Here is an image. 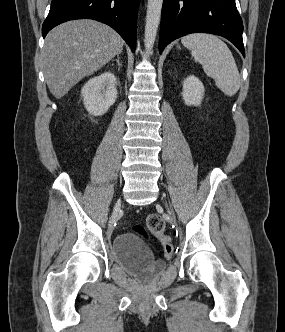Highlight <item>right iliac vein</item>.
<instances>
[{"label": "right iliac vein", "instance_id": "obj_1", "mask_svg": "<svg viewBox=\"0 0 285 332\" xmlns=\"http://www.w3.org/2000/svg\"><path fill=\"white\" fill-rule=\"evenodd\" d=\"M120 206H121V200L118 199L116 202L115 208H114L113 215H112L113 219L117 216V212L119 211Z\"/></svg>", "mask_w": 285, "mask_h": 332}]
</instances>
